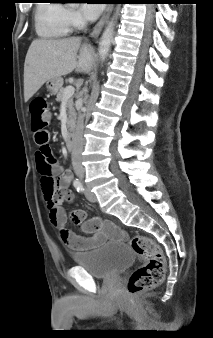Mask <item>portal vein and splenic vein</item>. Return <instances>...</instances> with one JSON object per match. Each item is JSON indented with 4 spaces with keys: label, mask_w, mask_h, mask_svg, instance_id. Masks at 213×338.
<instances>
[{
    "label": "portal vein and splenic vein",
    "mask_w": 213,
    "mask_h": 338,
    "mask_svg": "<svg viewBox=\"0 0 213 338\" xmlns=\"http://www.w3.org/2000/svg\"><path fill=\"white\" fill-rule=\"evenodd\" d=\"M74 91L75 89L73 86H67L64 90L63 99H68L72 97V95L74 94Z\"/></svg>",
    "instance_id": "portal-vein-and-splenic-vein-1"
}]
</instances>
